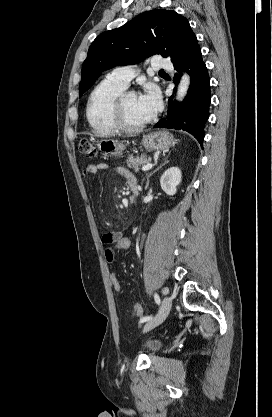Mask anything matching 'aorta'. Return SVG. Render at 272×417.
<instances>
[{"mask_svg": "<svg viewBox=\"0 0 272 417\" xmlns=\"http://www.w3.org/2000/svg\"><path fill=\"white\" fill-rule=\"evenodd\" d=\"M190 85V77L187 74H184L181 78V81L179 83L178 89H177V96L176 99L178 101H182L184 97L187 94V91L189 89Z\"/></svg>", "mask_w": 272, "mask_h": 417, "instance_id": "aorta-1", "label": "aorta"}]
</instances>
